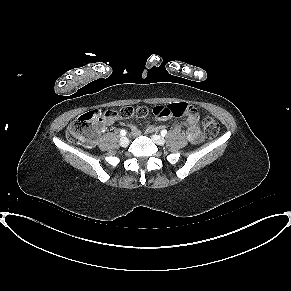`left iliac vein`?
<instances>
[{
    "label": "left iliac vein",
    "mask_w": 291,
    "mask_h": 291,
    "mask_svg": "<svg viewBox=\"0 0 291 291\" xmlns=\"http://www.w3.org/2000/svg\"><path fill=\"white\" fill-rule=\"evenodd\" d=\"M152 140L158 145H164L166 142L165 139L160 135H153Z\"/></svg>",
    "instance_id": "obj_1"
}]
</instances>
